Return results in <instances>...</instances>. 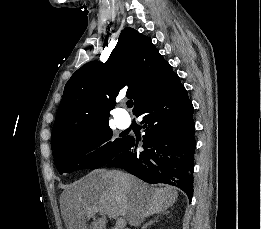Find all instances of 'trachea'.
I'll use <instances>...</instances> for the list:
<instances>
[{"label": "trachea", "instance_id": "obj_1", "mask_svg": "<svg viewBox=\"0 0 261 229\" xmlns=\"http://www.w3.org/2000/svg\"><path fill=\"white\" fill-rule=\"evenodd\" d=\"M127 106L130 107V108L133 107V101L132 100H128L127 101Z\"/></svg>", "mask_w": 261, "mask_h": 229}]
</instances>
